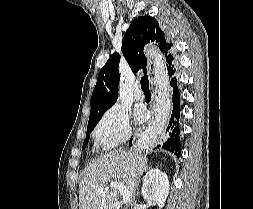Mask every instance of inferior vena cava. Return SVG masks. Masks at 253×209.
<instances>
[{
  "label": "inferior vena cava",
  "mask_w": 253,
  "mask_h": 209,
  "mask_svg": "<svg viewBox=\"0 0 253 209\" xmlns=\"http://www.w3.org/2000/svg\"><path fill=\"white\" fill-rule=\"evenodd\" d=\"M136 184H137V180L135 181V183H134V186L136 187Z\"/></svg>",
  "instance_id": "inferior-vena-cava-1"
}]
</instances>
